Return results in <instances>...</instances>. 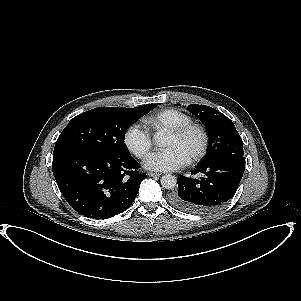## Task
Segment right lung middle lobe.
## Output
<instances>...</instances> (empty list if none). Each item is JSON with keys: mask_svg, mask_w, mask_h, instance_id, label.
Wrapping results in <instances>:
<instances>
[{"mask_svg": "<svg viewBox=\"0 0 301 301\" xmlns=\"http://www.w3.org/2000/svg\"><path fill=\"white\" fill-rule=\"evenodd\" d=\"M156 104L136 108L99 107L72 118L55 143L53 155L75 149L128 154L124 138L128 127L154 109Z\"/></svg>", "mask_w": 301, "mask_h": 301, "instance_id": "right-lung-middle-lobe-1", "label": "right lung middle lobe"}]
</instances>
